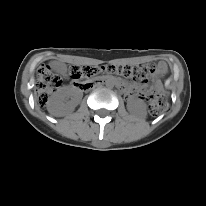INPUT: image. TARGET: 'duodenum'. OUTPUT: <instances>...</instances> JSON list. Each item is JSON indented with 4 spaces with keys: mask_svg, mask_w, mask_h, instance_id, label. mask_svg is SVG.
Instances as JSON below:
<instances>
[{
    "mask_svg": "<svg viewBox=\"0 0 206 206\" xmlns=\"http://www.w3.org/2000/svg\"><path fill=\"white\" fill-rule=\"evenodd\" d=\"M101 83L111 84L113 83L115 86H123V83L118 80L117 78L112 79L111 77L103 76L102 78H99L93 82L86 83L84 85V89H91L93 86Z\"/></svg>",
    "mask_w": 206,
    "mask_h": 206,
    "instance_id": "duodenum-1",
    "label": "duodenum"
}]
</instances>
